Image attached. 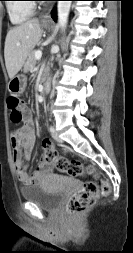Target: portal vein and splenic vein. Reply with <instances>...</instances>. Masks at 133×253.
Listing matches in <instances>:
<instances>
[{
  "label": "portal vein and splenic vein",
  "mask_w": 133,
  "mask_h": 253,
  "mask_svg": "<svg viewBox=\"0 0 133 253\" xmlns=\"http://www.w3.org/2000/svg\"><path fill=\"white\" fill-rule=\"evenodd\" d=\"M41 57H42V51H41V50H37V51L35 52V58H36L37 60H39V59H41Z\"/></svg>",
  "instance_id": "portal-vein-and-splenic-vein-1"
}]
</instances>
